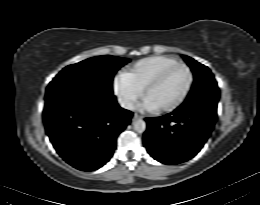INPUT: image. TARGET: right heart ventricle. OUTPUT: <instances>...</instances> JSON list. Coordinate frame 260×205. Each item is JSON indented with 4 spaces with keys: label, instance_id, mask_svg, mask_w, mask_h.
Segmentation results:
<instances>
[{
    "label": "right heart ventricle",
    "instance_id": "right-heart-ventricle-1",
    "mask_svg": "<svg viewBox=\"0 0 260 205\" xmlns=\"http://www.w3.org/2000/svg\"><path fill=\"white\" fill-rule=\"evenodd\" d=\"M175 62H178V60L170 56H149L137 61L129 71L123 74V77L142 90L157 72Z\"/></svg>",
    "mask_w": 260,
    "mask_h": 205
}]
</instances>
